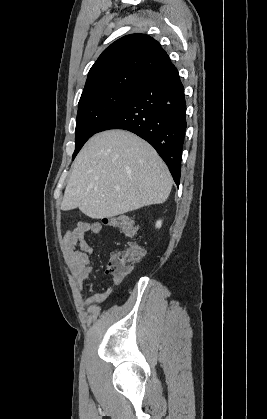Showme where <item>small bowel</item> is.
<instances>
[{"label":"small bowel","instance_id":"small-bowel-1","mask_svg":"<svg viewBox=\"0 0 267 419\" xmlns=\"http://www.w3.org/2000/svg\"><path fill=\"white\" fill-rule=\"evenodd\" d=\"M101 230L102 224L99 221L79 222L67 230L63 236L64 257L72 282L80 297L83 286H87L91 292L88 298H80L81 303L85 306L103 304L109 298L112 289L121 282V277H112L110 286L96 290L93 284L88 281L93 269V262L90 258L93 248L86 240V235L89 233L98 234Z\"/></svg>","mask_w":267,"mask_h":419}]
</instances>
